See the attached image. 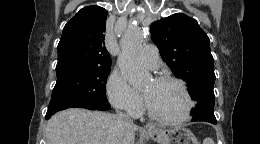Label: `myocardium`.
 Instances as JSON below:
<instances>
[{
	"instance_id": "1",
	"label": "myocardium",
	"mask_w": 260,
	"mask_h": 144,
	"mask_svg": "<svg viewBox=\"0 0 260 144\" xmlns=\"http://www.w3.org/2000/svg\"><path fill=\"white\" fill-rule=\"evenodd\" d=\"M156 83H172L177 85L183 92L186 101H187V108H186V112L185 114L180 117V118H167L164 116H161L157 113H155L149 103L147 102L146 98H145V108L147 111V114L150 118H152L155 121H158L160 123H164V124H172V125H176V124H183L185 122H187L192 114V110L194 107V101L193 98L191 96V93L187 87V85L185 84L184 81H182L181 79L175 78V77H171V76H160L157 77L153 80Z\"/></svg>"
}]
</instances>
